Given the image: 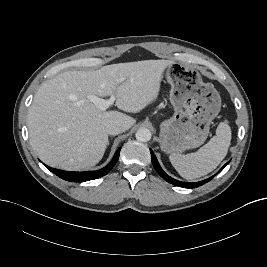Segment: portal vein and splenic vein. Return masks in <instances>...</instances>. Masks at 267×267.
Returning <instances> with one entry per match:
<instances>
[{
    "label": "portal vein and splenic vein",
    "mask_w": 267,
    "mask_h": 267,
    "mask_svg": "<svg viewBox=\"0 0 267 267\" xmlns=\"http://www.w3.org/2000/svg\"><path fill=\"white\" fill-rule=\"evenodd\" d=\"M88 100L93 102L101 111H105L114 104L115 96L112 95L110 99L104 100L97 96L91 95L88 97ZM81 102L83 103L84 101Z\"/></svg>",
    "instance_id": "18ae733b"
}]
</instances>
